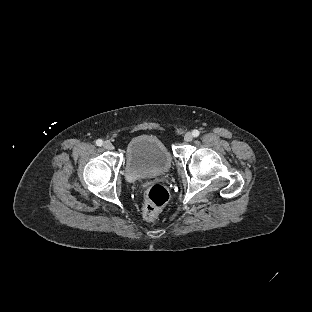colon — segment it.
<instances>
[{
  "instance_id": "obj_1",
  "label": "colon",
  "mask_w": 312,
  "mask_h": 312,
  "mask_svg": "<svg viewBox=\"0 0 312 312\" xmlns=\"http://www.w3.org/2000/svg\"><path fill=\"white\" fill-rule=\"evenodd\" d=\"M168 199L169 194L164 186L160 184L151 185L146 190L144 217L149 220L155 219Z\"/></svg>"
}]
</instances>
